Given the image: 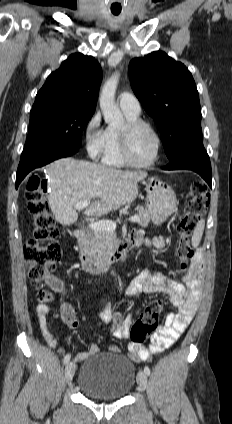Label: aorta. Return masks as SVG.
<instances>
[{"instance_id":"aorta-1","label":"aorta","mask_w":232,"mask_h":424,"mask_svg":"<svg viewBox=\"0 0 232 424\" xmlns=\"http://www.w3.org/2000/svg\"><path fill=\"white\" fill-rule=\"evenodd\" d=\"M119 82V74L112 75L102 87L100 95V108L105 121L113 126L123 122V115L115 102V93Z\"/></svg>"}]
</instances>
